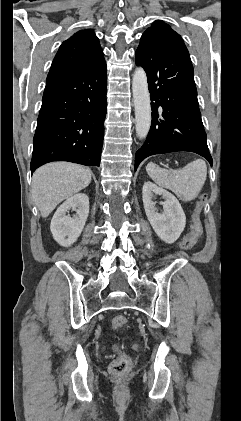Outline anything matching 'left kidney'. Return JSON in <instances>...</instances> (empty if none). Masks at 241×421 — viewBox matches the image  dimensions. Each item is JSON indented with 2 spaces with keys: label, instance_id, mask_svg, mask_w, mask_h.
<instances>
[{
  "label": "left kidney",
  "instance_id": "obj_1",
  "mask_svg": "<svg viewBox=\"0 0 241 421\" xmlns=\"http://www.w3.org/2000/svg\"><path fill=\"white\" fill-rule=\"evenodd\" d=\"M160 195L163 212L159 213L153 198ZM142 198L146 216L159 238L166 243H174L183 232L186 225V216L181 204L170 192L147 181L143 185Z\"/></svg>",
  "mask_w": 241,
  "mask_h": 421
}]
</instances>
